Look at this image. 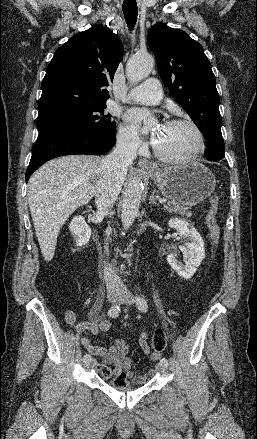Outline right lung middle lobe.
Wrapping results in <instances>:
<instances>
[{"label": "right lung middle lobe", "instance_id": "obj_1", "mask_svg": "<svg viewBox=\"0 0 257 439\" xmlns=\"http://www.w3.org/2000/svg\"><path fill=\"white\" fill-rule=\"evenodd\" d=\"M105 108L106 104H100L38 119L37 127L39 131H42L54 126L68 125L96 131L107 136H115V121L111 120L112 116L109 113L104 114Z\"/></svg>", "mask_w": 257, "mask_h": 439}]
</instances>
